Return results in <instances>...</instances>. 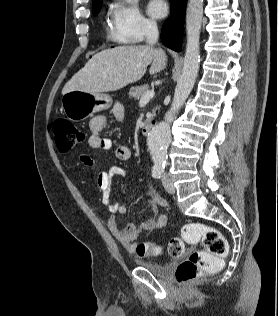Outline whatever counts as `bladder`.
Returning a JSON list of instances; mask_svg holds the SVG:
<instances>
[{
	"mask_svg": "<svg viewBox=\"0 0 278 316\" xmlns=\"http://www.w3.org/2000/svg\"><path fill=\"white\" fill-rule=\"evenodd\" d=\"M136 264L158 277H167L173 270V264H161L151 261L136 260Z\"/></svg>",
	"mask_w": 278,
	"mask_h": 316,
	"instance_id": "31cf9c89",
	"label": "bladder"
}]
</instances>
